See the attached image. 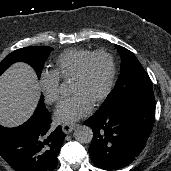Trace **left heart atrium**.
Segmentation results:
<instances>
[{"label":"left heart atrium","instance_id":"left-heart-atrium-1","mask_svg":"<svg viewBox=\"0 0 171 171\" xmlns=\"http://www.w3.org/2000/svg\"><path fill=\"white\" fill-rule=\"evenodd\" d=\"M91 111V103L81 94L64 98L54 113L57 123L72 124L88 115Z\"/></svg>","mask_w":171,"mask_h":171}]
</instances>
